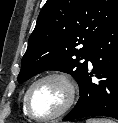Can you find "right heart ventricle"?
I'll use <instances>...</instances> for the list:
<instances>
[{
    "label": "right heart ventricle",
    "mask_w": 118,
    "mask_h": 123,
    "mask_svg": "<svg viewBox=\"0 0 118 123\" xmlns=\"http://www.w3.org/2000/svg\"><path fill=\"white\" fill-rule=\"evenodd\" d=\"M22 112H23V115H24L25 117H29L28 114L26 113V110H25L24 100H23V104H22Z\"/></svg>",
    "instance_id": "right-heart-ventricle-1"
}]
</instances>
